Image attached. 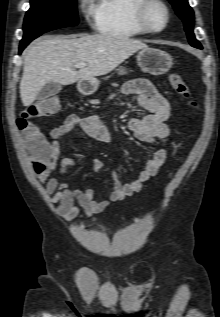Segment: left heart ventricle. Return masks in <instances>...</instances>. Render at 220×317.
<instances>
[{"label":"left heart ventricle","mask_w":220,"mask_h":317,"mask_svg":"<svg viewBox=\"0 0 220 317\" xmlns=\"http://www.w3.org/2000/svg\"><path fill=\"white\" fill-rule=\"evenodd\" d=\"M148 17L155 28H161L165 23V14L161 7L153 5L149 9Z\"/></svg>","instance_id":"1"}]
</instances>
